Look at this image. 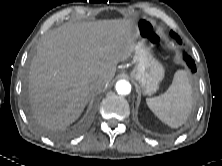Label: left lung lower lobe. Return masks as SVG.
<instances>
[{
    "instance_id": "left-lung-lower-lobe-1",
    "label": "left lung lower lobe",
    "mask_w": 222,
    "mask_h": 166,
    "mask_svg": "<svg viewBox=\"0 0 222 166\" xmlns=\"http://www.w3.org/2000/svg\"><path fill=\"white\" fill-rule=\"evenodd\" d=\"M179 44L182 43V41H177ZM184 60L186 61L188 67L191 69L192 73H195L196 72V67H195V63H194V60L189 56L187 55L186 53H184Z\"/></svg>"
}]
</instances>
